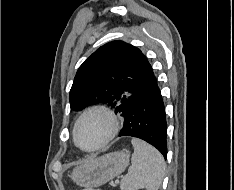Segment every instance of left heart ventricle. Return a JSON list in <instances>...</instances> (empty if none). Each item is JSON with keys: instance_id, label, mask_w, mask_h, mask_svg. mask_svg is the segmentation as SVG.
Segmentation results:
<instances>
[{"instance_id": "1", "label": "left heart ventricle", "mask_w": 234, "mask_h": 190, "mask_svg": "<svg viewBox=\"0 0 234 190\" xmlns=\"http://www.w3.org/2000/svg\"><path fill=\"white\" fill-rule=\"evenodd\" d=\"M108 132V122L100 115L87 117L81 124L78 131L79 143L86 148L100 143Z\"/></svg>"}]
</instances>
